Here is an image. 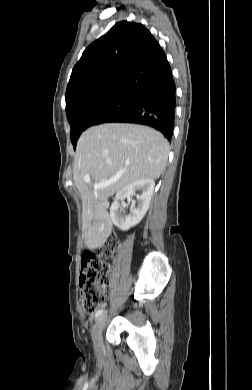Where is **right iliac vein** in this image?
I'll return each mask as SVG.
<instances>
[{"mask_svg":"<svg viewBox=\"0 0 252 390\" xmlns=\"http://www.w3.org/2000/svg\"><path fill=\"white\" fill-rule=\"evenodd\" d=\"M106 318H107V315L105 313L100 315L97 318V320L92 328V339H93L94 346L97 350L101 349V347L103 345L102 332H103V328L105 326Z\"/></svg>","mask_w":252,"mask_h":390,"instance_id":"obj_1","label":"right iliac vein"}]
</instances>
